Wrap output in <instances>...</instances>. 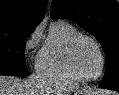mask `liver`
<instances>
[{"label":"liver","mask_w":119,"mask_h":95,"mask_svg":"<svg viewBox=\"0 0 119 95\" xmlns=\"http://www.w3.org/2000/svg\"><path fill=\"white\" fill-rule=\"evenodd\" d=\"M78 88L70 82L53 80L44 75H32L26 80L0 76V95H67Z\"/></svg>","instance_id":"liver-1"}]
</instances>
